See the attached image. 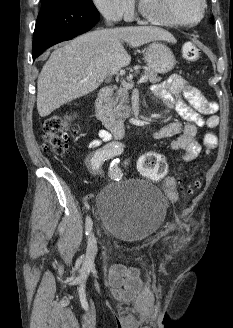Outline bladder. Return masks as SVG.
Masks as SVG:
<instances>
[{
    "label": "bladder",
    "mask_w": 233,
    "mask_h": 328,
    "mask_svg": "<svg viewBox=\"0 0 233 328\" xmlns=\"http://www.w3.org/2000/svg\"><path fill=\"white\" fill-rule=\"evenodd\" d=\"M101 228L124 242H138L163 224L168 202L155 186L141 180L115 182L97 196Z\"/></svg>",
    "instance_id": "bladder-1"
}]
</instances>
